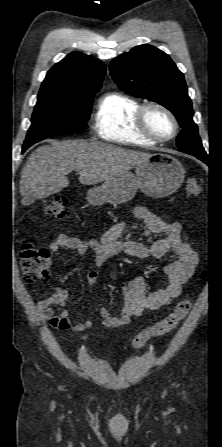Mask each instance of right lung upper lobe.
<instances>
[{
	"mask_svg": "<svg viewBox=\"0 0 222 447\" xmlns=\"http://www.w3.org/2000/svg\"><path fill=\"white\" fill-rule=\"evenodd\" d=\"M105 70L104 63L97 58L73 52L48 71L40 90H58L70 95L97 93Z\"/></svg>",
	"mask_w": 222,
	"mask_h": 447,
	"instance_id": "cb5924a9",
	"label": "right lung upper lobe"
}]
</instances>
